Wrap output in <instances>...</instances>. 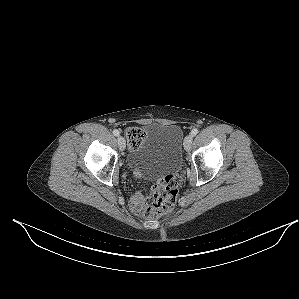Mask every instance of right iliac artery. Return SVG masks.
I'll return each mask as SVG.
<instances>
[{
  "label": "right iliac artery",
  "mask_w": 299,
  "mask_h": 299,
  "mask_svg": "<svg viewBox=\"0 0 299 299\" xmlns=\"http://www.w3.org/2000/svg\"><path fill=\"white\" fill-rule=\"evenodd\" d=\"M113 134H114L115 136H118V135L120 134V132H119L117 129H115V130H113Z\"/></svg>",
  "instance_id": "1"
}]
</instances>
